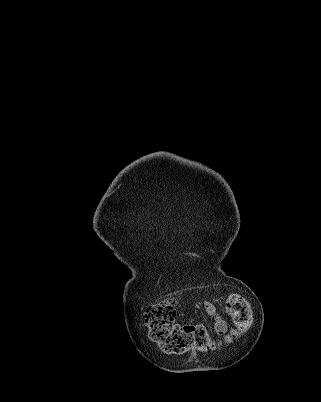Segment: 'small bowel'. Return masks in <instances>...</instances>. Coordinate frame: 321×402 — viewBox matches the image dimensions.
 <instances>
[{
  "instance_id": "c3829d8e",
  "label": "small bowel",
  "mask_w": 321,
  "mask_h": 402,
  "mask_svg": "<svg viewBox=\"0 0 321 402\" xmlns=\"http://www.w3.org/2000/svg\"><path fill=\"white\" fill-rule=\"evenodd\" d=\"M203 310L207 315L214 318V330L216 333L219 335L226 333L228 325L218 313L216 305L212 302L206 301L203 303Z\"/></svg>"
}]
</instances>
